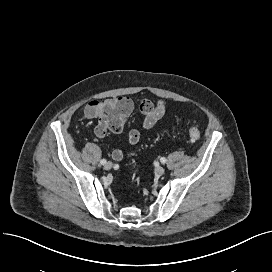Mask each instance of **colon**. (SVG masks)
I'll use <instances>...</instances> for the list:
<instances>
[{"label": "colon", "mask_w": 272, "mask_h": 272, "mask_svg": "<svg viewBox=\"0 0 272 272\" xmlns=\"http://www.w3.org/2000/svg\"><path fill=\"white\" fill-rule=\"evenodd\" d=\"M124 124V119L117 113V111L110 107L105 106L98 114V129L101 134H105L107 130H118ZM133 138L139 136L138 132H131ZM200 138V130L197 125L193 124L189 128V142H197Z\"/></svg>", "instance_id": "1"}]
</instances>
